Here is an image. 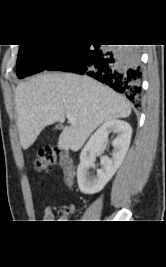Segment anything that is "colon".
Here are the masks:
<instances>
[{
    "label": "colon",
    "mask_w": 166,
    "mask_h": 267,
    "mask_svg": "<svg viewBox=\"0 0 166 267\" xmlns=\"http://www.w3.org/2000/svg\"><path fill=\"white\" fill-rule=\"evenodd\" d=\"M55 164L63 168L66 183L72 182L75 176V163L69 154L51 147L39 151L38 158L35 161V167L38 172L48 173ZM61 211L63 215H69L72 212V207L65 205L61 208Z\"/></svg>",
    "instance_id": "colon-1"
}]
</instances>
